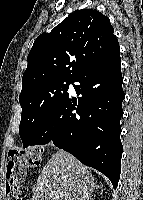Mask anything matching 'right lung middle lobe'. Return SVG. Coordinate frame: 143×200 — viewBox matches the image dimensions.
<instances>
[{
	"instance_id": "dd1d6c3e",
	"label": "right lung middle lobe",
	"mask_w": 143,
	"mask_h": 200,
	"mask_svg": "<svg viewBox=\"0 0 143 200\" xmlns=\"http://www.w3.org/2000/svg\"><path fill=\"white\" fill-rule=\"evenodd\" d=\"M73 80L56 79L22 90L19 102L22 107L19 135L26 148L41 127L67 97L68 87Z\"/></svg>"
}]
</instances>
